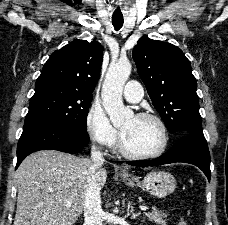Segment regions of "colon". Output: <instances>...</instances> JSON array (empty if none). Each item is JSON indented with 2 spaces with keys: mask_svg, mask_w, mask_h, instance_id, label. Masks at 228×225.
<instances>
[{
  "mask_svg": "<svg viewBox=\"0 0 228 225\" xmlns=\"http://www.w3.org/2000/svg\"><path fill=\"white\" fill-rule=\"evenodd\" d=\"M178 225H186V222L184 220H179Z\"/></svg>",
  "mask_w": 228,
  "mask_h": 225,
  "instance_id": "5ec220e1",
  "label": "colon"
}]
</instances>
